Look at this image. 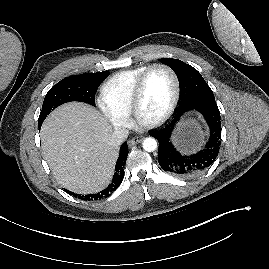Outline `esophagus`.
<instances>
[{
	"instance_id": "1",
	"label": "esophagus",
	"mask_w": 269,
	"mask_h": 269,
	"mask_svg": "<svg viewBox=\"0 0 269 269\" xmlns=\"http://www.w3.org/2000/svg\"><path fill=\"white\" fill-rule=\"evenodd\" d=\"M143 137H135V138H132L128 141V145L131 147V146H134L136 145L137 143H140L143 141Z\"/></svg>"
}]
</instances>
